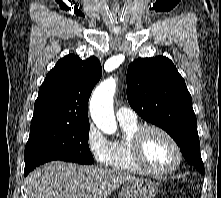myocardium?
I'll list each match as a JSON object with an SVG mask.
<instances>
[{"label": "myocardium", "mask_w": 221, "mask_h": 198, "mask_svg": "<svg viewBox=\"0 0 221 198\" xmlns=\"http://www.w3.org/2000/svg\"><path fill=\"white\" fill-rule=\"evenodd\" d=\"M151 131H156L164 135L175 148L177 158L175 164L172 167L167 169H157L147 163L144 156V140L146 135ZM131 146H132L133 157L137 165L143 171L152 175L163 176L175 172L181 165L183 159V153L176 138L168 130L158 125L151 124V125L141 126L134 133L131 141Z\"/></svg>", "instance_id": "myocardium-1"}]
</instances>
